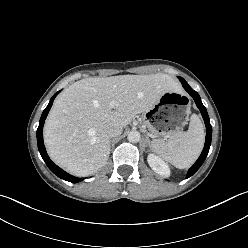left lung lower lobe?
<instances>
[{
    "instance_id": "obj_1",
    "label": "left lung lower lobe",
    "mask_w": 248,
    "mask_h": 248,
    "mask_svg": "<svg viewBox=\"0 0 248 248\" xmlns=\"http://www.w3.org/2000/svg\"><path fill=\"white\" fill-rule=\"evenodd\" d=\"M182 85H183L184 89L193 97L197 107L201 111V114L203 116L205 126H206V140H205L204 149H203L200 157L198 158V160L189 169L188 174H187V178H188V177L192 176L200 168V166L203 164L204 160L206 159V157L208 155L209 148H210V145H211L212 127H211V124H210V121H209V116H208L207 110L204 107V105L202 104L201 98L198 95V93L196 91H194L187 84V82H182Z\"/></svg>"
}]
</instances>
